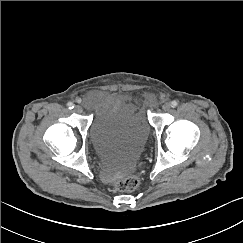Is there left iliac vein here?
Returning <instances> with one entry per match:
<instances>
[{
  "label": "left iliac vein",
  "instance_id": "left-iliac-vein-1",
  "mask_svg": "<svg viewBox=\"0 0 243 243\" xmlns=\"http://www.w3.org/2000/svg\"><path fill=\"white\" fill-rule=\"evenodd\" d=\"M170 108H171V105H170L169 103H165V104L162 106V109H163L164 111H169Z\"/></svg>",
  "mask_w": 243,
  "mask_h": 243
}]
</instances>
